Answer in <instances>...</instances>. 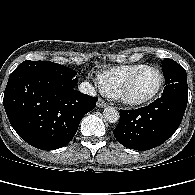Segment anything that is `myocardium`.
<instances>
[{
  "mask_svg": "<svg viewBox=\"0 0 195 195\" xmlns=\"http://www.w3.org/2000/svg\"><path fill=\"white\" fill-rule=\"evenodd\" d=\"M145 70H153L159 74L160 78L159 85L152 94L143 98H133L129 95L130 87L133 81L136 79V77ZM164 82H165L164 75L159 68L155 66L144 65L143 67L139 68L133 74L130 75V77L125 81L124 85L122 86L120 93L114 98L129 106H141L151 102L161 93L164 87Z\"/></svg>",
  "mask_w": 195,
  "mask_h": 195,
  "instance_id": "obj_1",
  "label": "myocardium"
}]
</instances>
